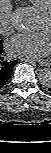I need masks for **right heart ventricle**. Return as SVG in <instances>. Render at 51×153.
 Masks as SVG:
<instances>
[{"label": "right heart ventricle", "mask_w": 51, "mask_h": 153, "mask_svg": "<svg viewBox=\"0 0 51 153\" xmlns=\"http://www.w3.org/2000/svg\"><path fill=\"white\" fill-rule=\"evenodd\" d=\"M37 10L44 11L51 7V0H28Z\"/></svg>", "instance_id": "right-heart-ventricle-1"}]
</instances>
